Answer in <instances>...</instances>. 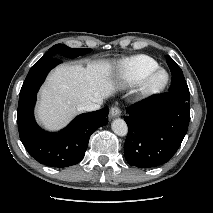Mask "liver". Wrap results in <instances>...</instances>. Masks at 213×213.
Here are the masks:
<instances>
[{"instance_id":"obj_1","label":"liver","mask_w":213,"mask_h":213,"mask_svg":"<svg viewBox=\"0 0 213 213\" xmlns=\"http://www.w3.org/2000/svg\"><path fill=\"white\" fill-rule=\"evenodd\" d=\"M112 65L105 60L86 68L75 65L57 67L39 93L38 121L48 130L64 127L86 102L104 99L115 92Z\"/></svg>"}]
</instances>
